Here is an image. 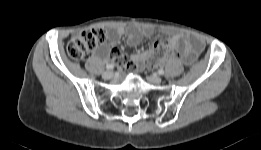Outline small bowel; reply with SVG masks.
<instances>
[{"instance_id":"1","label":"small bowel","mask_w":261,"mask_h":150,"mask_svg":"<svg viewBox=\"0 0 261 150\" xmlns=\"http://www.w3.org/2000/svg\"><path fill=\"white\" fill-rule=\"evenodd\" d=\"M123 27L115 28L111 31L108 43L103 44L98 53L101 56L113 57L121 68L130 70L132 75H137L142 68V62L146 59V52H137L132 55H123L117 49L110 48L111 44L119 42L120 38L125 34ZM155 34V30L151 26H131L127 30V44L129 46H137L144 38H151ZM169 45L173 49L182 48L184 51V61L190 63L202 49V43L194 38H185L182 35L175 34L168 39Z\"/></svg>"}]
</instances>
